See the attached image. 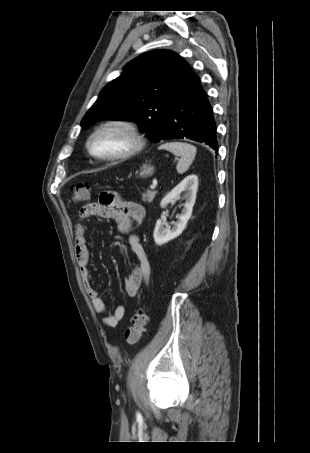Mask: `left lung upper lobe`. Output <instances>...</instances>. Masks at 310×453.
Returning a JSON list of instances; mask_svg holds the SVG:
<instances>
[{
    "label": "left lung upper lobe",
    "instance_id": "left-lung-upper-lobe-1",
    "mask_svg": "<svg viewBox=\"0 0 310 453\" xmlns=\"http://www.w3.org/2000/svg\"><path fill=\"white\" fill-rule=\"evenodd\" d=\"M189 73V64L175 52L144 53L129 62L124 72L103 88L81 126L102 119L134 120L147 137L159 142Z\"/></svg>",
    "mask_w": 310,
    "mask_h": 453
}]
</instances>
